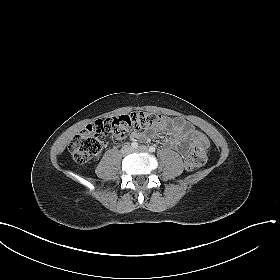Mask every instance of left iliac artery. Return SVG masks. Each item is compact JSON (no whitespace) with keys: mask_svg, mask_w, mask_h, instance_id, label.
<instances>
[{"mask_svg":"<svg viewBox=\"0 0 280 280\" xmlns=\"http://www.w3.org/2000/svg\"><path fill=\"white\" fill-rule=\"evenodd\" d=\"M155 150H156V148H155L154 146H150V147H149V151H150V152H155Z\"/></svg>","mask_w":280,"mask_h":280,"instance_id":"44dca946","label":"left iliac artery"}]
</instances>
